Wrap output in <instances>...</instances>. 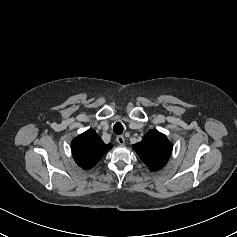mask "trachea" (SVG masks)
Instances as JSON below:
<instances>
[{"mask_svg":"<svg viewBox=\"0 0 237 237\" xmlns=\"http://www.w3.org/2000/svg\"><path fill=\"white\" fill-rule=\"evenodd\" d=\"M115 134H122L123 133V125L120 122L115 123L113 127Z\"/></svg>","mask_w":237,"mask_h":237,"instance_id":"trachea-1","label":"trachea"}]
</instances>
